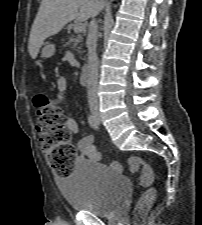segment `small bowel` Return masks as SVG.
I'll use <instances>...</instances> for the list:
<instances>
[{
	"label": "small bowel",
	"mask_w": 202,
	"mask_h": 225,
	"mask_svg": "<svg viewBox=\"0 0 202 225\" xmlns=\"http://www.w3.org/2000/svg\"><path fill=\"white\" fill-rule=\"evenodd\" d=\"M67 85H68L67 78L63 75L59 76L56 84L59 100L62 99V93L67 89ZM65 125L71 133H76L79 130L78 122L73 117L66 118ZM79 149H80V156L82 158L97 161L101 157L100 153L96 150L94 146V138L92 136H86L81 138L79 141Z\"/></svg>",
	"instance_id": "obj_1"
}]
</instances>
